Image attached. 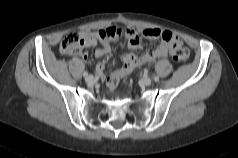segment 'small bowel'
Segmentation results:
<instances>
[{
	"label": "small bowel",
	"mask_w": 238,
	"mask_h": 158,
	"mask_svg": "<svg viewBox=\"0 0 238 158\" xmlns=\"http://www.w3.org/2000/svg\"><path fill=\"white\" fill-rule=\"evenodd\" d=\"M110 29L114 30L117 35L121 33L119 28L112 27ZM80 35L84 40V47L93 48L98 46L94 54L95 58L99 60V63L96 66V74L100 79L106 82L110 89H114L118 81L122 77L128 75L135 67L152 62L156 59L167 57L170 46L179 42L177 38L167 30L158 28H146L142 30L128 28L125 32V36L126 47L129 52L123 55L122 66L115 69L107 78H105L103 57L111 51L109 43L100 37L99 32L81 31ZM140 35L147 39H160L161 43L157 48L149 49L143 55L136 56L131 51L142 48L139 38ZM84 58L86 59V55H84Z\"/></svg>",
	"instance_id": "1"
}]
</instances>
